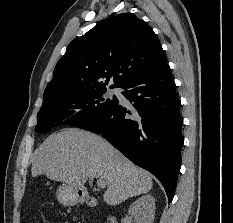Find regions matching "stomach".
<instances>
[{
    "mask_svg": "<svg viewBox=\"0 0 233 223\" xmlns=\"http://www.w3.org/2000/svg\"><path fill=\"white\" fill-rule=\"evenodd\" d=\"M79 189H81V187H76V185L61 183V185H59V187L56 189V197L59 203H62V205H67V207L79 203L80 197L84 199V197L87 195V191H85V189H81L82 193H79Z\"/></svg>",
    "mask_w": 233,
    "mask_h": 223,
    "instance_id": "0dacf381",
    "label": "stomach"
}]
</instances>
